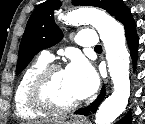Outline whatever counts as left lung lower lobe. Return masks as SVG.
I'll return each mask as SVG.
<instances>
[{
    "label": "left lung lower lobe",
    "mask_w": 145,
    "mask_h": 124,
    "mask_svg": "<svg viewBox=\"0 0 145 124\" xmlns=\"http://www.w3.org/2000/svg\"><path fill=\"white\" fill-rule=\"evenodd\" d=\"M117 20L120 21L124 27H125V32H126V38L128 45L131 50V56L133 58V63L136 62L137 59V47H138V37L136 34V24L132 18V15L128 9H125L118 17ZM105 96V91L102 90L96 101L89 107L80 109L75 112V114H82V115H87V110H95L97 109V106L100 104V102L103 100ZM131 121V116L130 112L119 122L116 124H130Z\"/></svg>",
    "instance_id": "1"
}]
</instances>
